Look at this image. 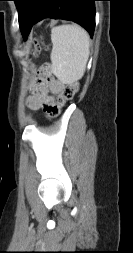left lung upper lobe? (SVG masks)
<instances>
[{"instance_id":"obj_1","label":"left lung upper lobe","mask_w":133,"mask_h":253,"mask_svg":"<svg viewBox=\"0 0 133 253\" xmlns=\"http://www.w3.org/2000/svg\"><path fill=\"white\" fill-rule=\"evenodd\" d=\"M15 2L16 6H17V10L19 11L20 7H21V4L24 0H12Z\"/></svg>"}]
</instances>
